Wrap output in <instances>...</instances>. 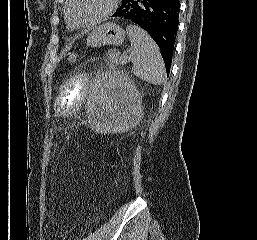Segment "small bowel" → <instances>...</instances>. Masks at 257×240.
Masks as SVG:
<instances>
[{
	"label": "small bowel",
	"instance_id": "c3829d8e",
	"mask_svg": "<svg viewBox=\"0 0 257 240\" xmlns=\"http://www.w3.org/2000/svg\"><path fill=\"white\" fill-rule=\"evenodd\" d=\"M95 60H96V58L91 59V61H95Z\"/></svg>",
	"mask_w": 257,
	"mask_h": 240
}]
</instances>
